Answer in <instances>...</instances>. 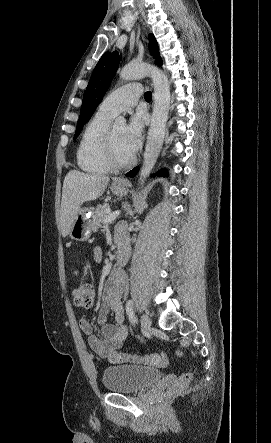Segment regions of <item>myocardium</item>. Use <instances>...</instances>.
Returning a JSON list of instances; mask_svg holds the SVG:
<instances>
[{
    "mask_svg": "<svg viewBox=\"0 0 271 443\" xmlns=\"http://www.w3.org/2000/svg\"><path fill=\"white\" fill-rule=\"evenodd\" d=\"M105 149H106V155H107L108 161L112 165V167L125 168L134 162L133 155L128 159H122L119 157V155L116 151L115 143H114L113 127H109V129H108L107 136H106Z\"/></svg>",
    "mask_w": 271,
    "mask_h": 443,
    "instance_id": "1",
    "label": "myocardium"
}]
</instances>
